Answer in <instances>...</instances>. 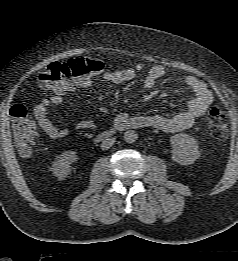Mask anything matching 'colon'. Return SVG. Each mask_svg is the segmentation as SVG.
<instances>
[{"mask_svg": "<svg viewBox=\"0 0 238 261\" xmlns=\"http://www.w3.org/2000/svg\"><path fill=\"white\" fill-rule=\"evenodd\" d=\"M102 61L92 57H77L64 62L50 64L40 75V84L55 92H66L74 81L90 77L103 70ZM12 128L19 153L28 157L39 141L37 128L29 116L28 110L21 104L12 107ZM209 127L213 137L224 140L227 137V119L219 107L208 112Z\"/></svg>", "mask_w": 238, "mask_h": 261, "instance_id": "1", "label": "colon"}]
</instances>
